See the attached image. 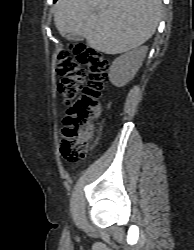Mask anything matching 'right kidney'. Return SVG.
Instances as JSON below:
<instances>
[{"label": "right kidney", "instance_id": "ca27d5eb", "mask_svg": "<svg viewBox=\"0 0 194 250\" xmlns=\"http://www.w3.org/2000/svg\"><path fill=\"white\" fill-rule=\"evenodd\" d=\"M148 51L147 46L134 50L116 58L109 71V80L116 87H123L131 81L142 65Z\"/></svg>", "mask_w": 194, "mask_h": 250}]
</instances>
